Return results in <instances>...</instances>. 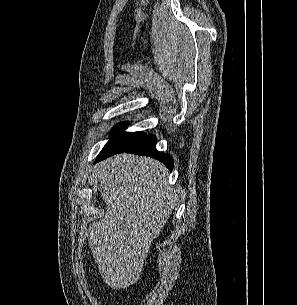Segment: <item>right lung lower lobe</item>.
Masks as SVG:
<instances>
[{"instance_id": "right-lung-lower-lobe-1", "label": "right lung lower lobe", "mask_w": 297, "mask_h": 305, "mask_svg": "<svg viewBox=\"0 0 297 305\" xmlns=\"http://www.w3.org/2000/svg\"><path fill=\"white\" fill-rule=\"evenodd\" d=\"M156 140H157L156 136L145 135L142 139H140L131 146L102 149V151L97 156L95 162H99L117 153L126 152V153L150 156L154 159L161 161L166 165L168 169L172 170L174 165L173 158L169 154L159 152L156 149L155 147Z\"/></svg>"}]
</instances>
